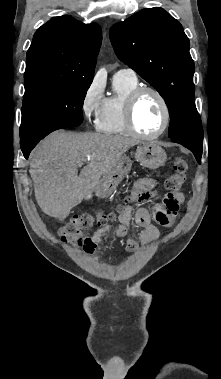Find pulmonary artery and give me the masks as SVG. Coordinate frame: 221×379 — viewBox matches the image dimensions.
<instances>
[{"instance_id":"1","label":"pulmonary artery","mask_w":221,"mask_h":379,"mask_svg":"<svg viewBox=\"0 0 221 379\" xmlns=\"http://www.w3.org/2000/svg\"><path fill=\"white\" fill-rule=\"evenodd\" d=\"M115 75L125 76L129 78H137L135 71L131 68H121L115 73Z\"/></svg>"}]
</instances>
